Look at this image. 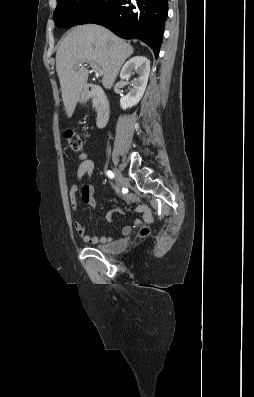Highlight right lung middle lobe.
Returning <instances> with one entry per match:
<instances>
[{"instance_id":"dd1d6c3e","label":"right lung middle lobe","mask_w":254,"mask_h":397,"mask_svg":"<svg viewBox=\"0 0 254 397\" xmlns=\"http://www.w3.org/2000/svg\"><path fill=\"white\" fill-rule=\"evenodd\" d=\"M114 0H57L53 14L54 22L59 27L87 24L104 13Z\"/></svg>"}]
</instances>
